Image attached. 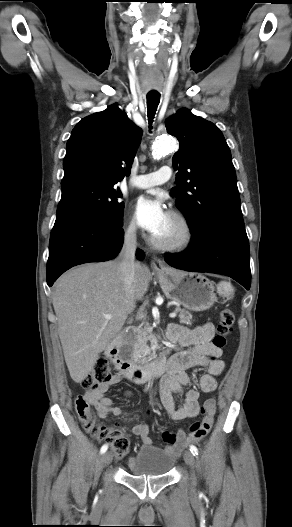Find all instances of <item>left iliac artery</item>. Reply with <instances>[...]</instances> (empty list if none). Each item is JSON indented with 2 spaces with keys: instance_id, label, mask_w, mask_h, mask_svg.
<instances>
[{
  "instance_id": "1",
  "label": "left iliac artery",
  "mask_w": 292,
  "mask_h": 527,
  "mask_svg": "<svg viewBox=\"0 0 292 527\" xmlns=\"http://www.w3.org/2000/svg\"><path fill=\"white\" fill-rule=\"evenodd\" d=\"M190 451H191V453H192L194 456L198 455V449H197L196 446L191 445V446H190Z\"/></svg>"
}]
</instances>
